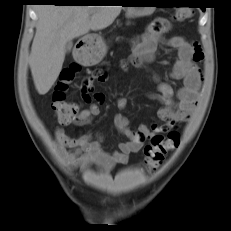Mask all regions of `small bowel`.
I'll use <instances>...</instances> for the list:
<instances>
[{
	"label": "small bowel",
	"mask_w": 231,
	"mask_h": 231,
	"mask_svg": "<svg viewBox=\"0 0 231 231\" xmlns=\"http://www.w3.org/2000/svg\"><path fill=\"white\" fill-rule=\"evenodd\" d=\"M170 29V23L164 18L154 20L145 33L136 38L133 42L132 55L129 62L141 66L153 61L157 53L158 44L163 35ZM167 45L178 50V60L171 73L174 79H181L183 86L175 93L173 88L165 82L158 83L159 94L150 95L154 100L159 101L162 107L158 111L162 125H152L149 128L141 125L137 130L129 126L128 118L123 114L127 107L128 100L119 97L116 100L118 113L115 115L114 123L116 128L128 138L118 144V150L107 152L100 141L94 139L92 134H81L77 137H70L62 128L55 130V148L62 162L71 169H86L90 166H97L105 171L112 170L117 164H126L132 153L138 152L145 140L156 134L168 132L176 124L190 119L195 111L198 93L201 85V71L199 63L203 59V52L197 43H190L182 36H175L167 40ZM94 80L105 81L106 75L98 73L89 77L82 86V97L90 106L78 113L68 124L83 126L88 124L93 117L100 113L97 103H91L93 99L102 102V94L94 92Z\"/></svg>",
	"instance_id": "c3829d8e"
}]
</instances>
